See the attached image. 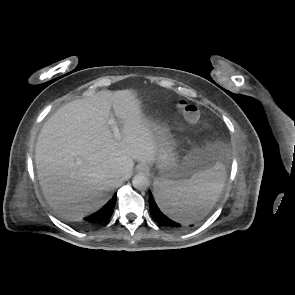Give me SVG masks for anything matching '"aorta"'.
<instances>
[{
  "instance_id": "762f6f07",
  "label": "aorta",
  "mask_w": 295,
  "mask_h": 295,
  "mask_svg": "<svg viewBox=\"0 0 295 295\" xmlns=\"http://www.w3.org/2000/svg\"><path fill=\"white\" fill-rule=\"evenodd\" d=\"M149 184H150L149 180L147 176L144 174L139 173L133 177L132 185L137 190H141V191L147 190L149 187Z\"/></svg>"
}]
</instances>
